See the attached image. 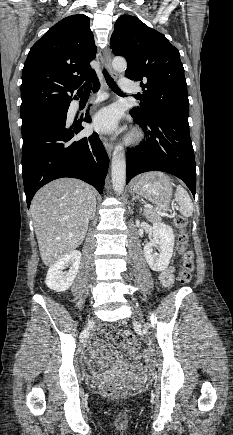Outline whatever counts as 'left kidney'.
Wrapping results in <instances>:
<instances>
[{
	"instance_id": "1",
	"label": "left kidney",
	"mask_w": 233,
	"mask_h": 435,
	"mask_svg": "<svg viewBox=\"0 0 233 435\" xmlns=\"http://www.w3.org/2000/svg\"><path fill=\"white\" fill-rule=\"evenodd\" d=\"M153 239L144 246V256L153 271H162L170 263L173 255L174 234L170 226L156 222L152 228ZM159 249V253L154 252Z\"/></svg>"
}]
</instances>
